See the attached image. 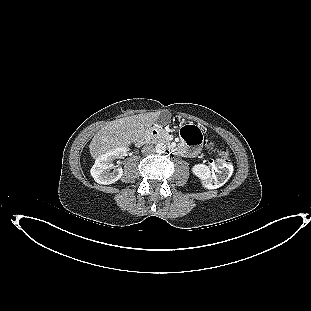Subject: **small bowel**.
<instances>
[{
    "label": "small bowel",
    "mask_w": 311,
    "mask_h": 311,
    "mask_svg": "<svg viewBox=\"0 0 311 311\" xmlns=\"http://www.w3.org/2000/svg\"><path fill=\"white\" fill-rule=\"evenodd\" d=\"M192 127H193V126H192ZM193 129H194L196 132H200L199 129L196 128V127H193ZM184 141H185V143L181 146V151H182L183 153H186V154H196V151L190 150V149L188 148V145H190V143H189L188 141H186V140H184Z\"/></svg>",
    "instance_id": "1"
}]
</instances>
